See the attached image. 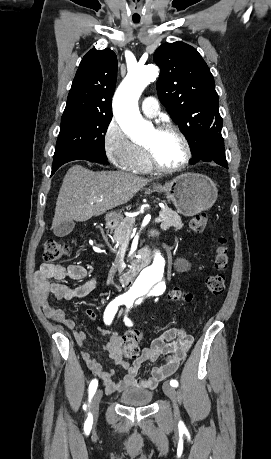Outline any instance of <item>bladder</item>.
Wrapping results in <instances>:
<instances>
[{"label": "bladder", "instance_id": "31cf9c89", "mask_svg": "<svg viewBox=\"0 0 271 459\" xmlns=\"http://www.w3.org/2000/svg\"><path fill=\"white\" fill-rule=\"evenodd\" d=\"M152 397L151 391L135 388L132 391L122 393L120 400L122 404L138 406L148 404Z\"/></svg>", "mask_w": 271, "mask_h": 459}]
</instances>
